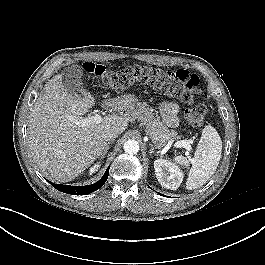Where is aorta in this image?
<instances>
[{
	"label": "aorta",
	"instance_id": "aorta-1",
	"mask_svg": "<svg viewBox=\"0 0 265 265\" xmlns=\"http://www.w3.org/2000/svg\"><path fill=\"white\" fill-rule=\"evenodd\" d=\"M123 148L128 154H136L139 151V143L136 140H128L124 143Z\"/></svg>",
	"mask_w": 265,
	"mask_h": 265
}]
</instances>
